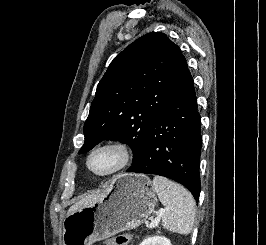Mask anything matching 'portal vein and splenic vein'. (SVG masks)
I'll use <instances>...</instances> for the list:
<instances>
[{
    "mask_svg": "<svg viewBox=\"0 0 266 245\" xmlns=\"http://www.w3.org/2000/svg\"><path fill=\"white\" fill-rule=\"evenodd\" d=\"M163 213H165V209H160V211L158 213V217H156V219H154V221H151L150 225H147L148 229H154V227H157Z\"/></svg>",
    "mask_w": 266,
    "mask_h": 245,
    "instance_id": "obj_1",
    "label": "portal vein and splenic vein"
}]
</instances>
